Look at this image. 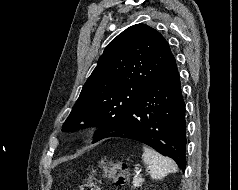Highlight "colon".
<instances>
[{
	"instance_id": "1",
	"label": "colon",
	"mask_w": 238,
	"mask_h": 190,
	"mask_svg": "<svg viewBox=\"0 0 238 190\" xmlns=\"http://www.w3.org/2000/svg\"><path fill=\"white\" fill-rule=\"evenodd\" d=\"M131 170L127 164L119 161L102 160L91 175L82 185L81 190H101L103 179H108L116 184L123 185L129 181Z\"/></svg>"
}]
</instances>
